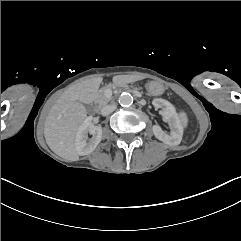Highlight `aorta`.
I'll return each instance as SVG.
<instances>
[{"label": "aorta", "mask_w": 241, "mask_h": 241, "mask_svg": "<svg viewBox=\"0 0 241 241\" xmlns=\"http://www.w3.org/2000/svg\"><path fill=\"white\" fill-rule=\"evenodd\" d=\"M118 102L123 107H128L133 103V97L130 93L124 92L119 96Z\"/></svg>", "instance_id": "aorta-1"}]
</instances>
